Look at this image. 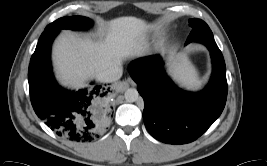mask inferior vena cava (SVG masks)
I'll return each instance as SVG.
<instances>
[{"label": "inferior vena cava", "mask_w": 267, "mask_h": 166, "mask_svg": "<svg viewBox=\"0 0 267 166\" xmlns=\"http://www.w3.org/2000/svg\"><path fill=\"white\" fill-rule=\"evenodd\" d=\"M123 70L120 66H112L107 70L102 71L98 78L103 82H114L120 79L122 76Z\"/></svg>", "instance_id": "1"}]
</instances>
